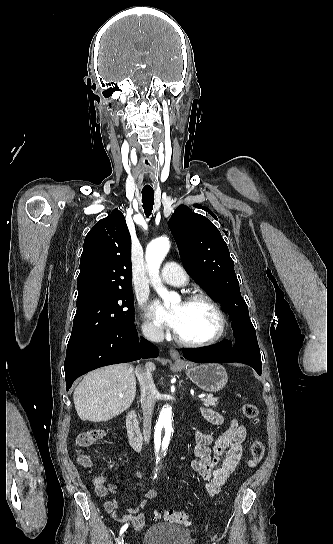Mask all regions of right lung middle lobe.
<instances>
[{
    "label": "right lung middle lobe",
    "mask_w": 333,
    "mask_h": 544,
    "mask_svg": "<svg viewBox=\"0 0 333 544\" xmlns=\"http://www.w3.org/2000/svg\"><path fill=\"white\" fill-rule=\"evenodd\" d=\"M134 322L132 289L99 293L77 300L67 351Z\"/></svg>",
    "instance_id": "obj_1"
}]
</instances>
